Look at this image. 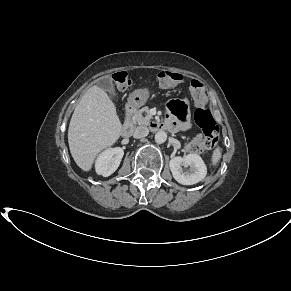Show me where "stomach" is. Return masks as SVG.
<instances>
[{
    "label": "stomach",
    "instance_id": "1",
    "mask_svg": "<svg viewBox=\"0 0 291 291\" xmlns=\"http://www.w3.org/2000/svg\"><path fill=\"white\" fill-rule=\"evenodd\" d=\"M149 98V90L144 89H137L132 92L128 98V102L130 105L139 107L144 105Z\"/></svg>",
    "mask_w": 291,
    "mask_h": 291
}]
</instances>
